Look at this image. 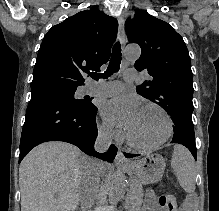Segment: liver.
Returning <instances> with one entry per match:
<instances>
[{
    "label": "liver",
    "instance_id": "1",
    "mask_svg": "<svg viewBox=\"0 0 219 211\" xmlns=\"http://www.w3.org/2000/svg\"><path fill=\"white\" fill-rule=\"evenodd\" d=\"M111 169L112 165L99 163L92 167V157L71 143H40L20 163L21 211H75L81 191H86L93 203L101 175L111 173ZM88 177L91 183L86 185Z\"/></svg>",
    "mask_w": 219,
    "mask_h": 211
}]
</instances>
